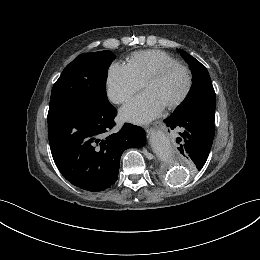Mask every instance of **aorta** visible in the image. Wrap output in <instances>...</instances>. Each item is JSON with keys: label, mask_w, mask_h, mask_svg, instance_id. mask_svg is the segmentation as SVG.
I'll return each mask as SVG.
<instances>
[{"label": "aorta", "mask_w": 260, "mask_h": 260, "mask_svg": "<svg viewBox=\"0 0 260 260\" xmlns=\"http://www.w3.org/2000/svg\"><path fill=\"white\" fill-rule=\"evenodd\" d=\"M153 150L169 164L166 178L172 184H179L189 178L190 173L184 158L175 150L172 142L164 134L154 135L150 139Z\"/></svg>", "instance_id": "1"}]
</instances>
